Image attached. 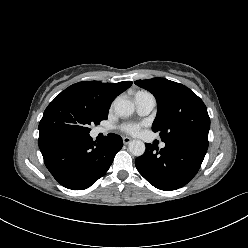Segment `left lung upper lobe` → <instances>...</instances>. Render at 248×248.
I'll list each match as a JSON object with an SVG mask.
<instances>
[{
  "label": "left lung upper lobe",
  "mask_w": 248,
  "mask_h": 248,
  "mask_svg": "<svg viewBox=\"0 0 248 248\" xmlns=\"http://www.w3.org/2000/svg\"><path fill=\"white\" fill-rule=\"evenodd\" d=\"M157 100V116L152 130L163 142L201 140L208 142L210 118L203 101L186 86L164 79L137 80Z\"/></svg>",
  "instance_id": "5c2ea615"
}]
</instances>
